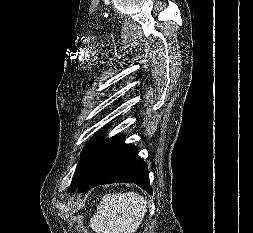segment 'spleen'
Listing matches in <instances>:
<instances>
[{"instance_id": "spleen-1", "label": "spleen", "mask_w": 253, "mask_h": 233, "mask_svg": "<svg viewBox=\"0 0 253 233\" xmlns=\"http://www.w3.org/2000/svg\"><path fill=\"white\" fill-rule=\"evenodd\" d=\"M146 208V199L138 193L106 194L90 220V227L97 233H135Z\"/></svg>"}]
</instances>
